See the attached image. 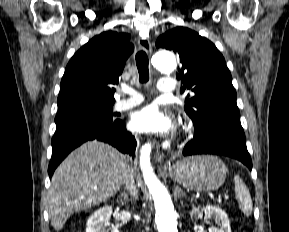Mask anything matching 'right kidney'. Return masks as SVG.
Instances as JSON below:
<instances>
[{
	"label": "right kidney",
	"mask_w": 289,
	"mask_h": 232,
	"mask_svg": "<svg viewBox=\"0 0 289 232\" xmlns=\"http://www.w3.org/2000/svg\"><path fill=\"white\" fill-rule=\"evenodd\" d=\"M112 215V207L105 206L98 210H96L89 217L86 224V232H108L107 228L111 230V232H119L117 227H110V218Z\"/></svg>",
	"instance_id": "obj_1"
}]
</instances>
